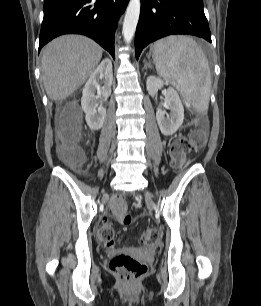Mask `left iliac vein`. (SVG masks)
I'll list each match as a JSON object with an SVG mask.
<instances>
[{"label":"left iliac vein","mask_w":261,"mask_h":306,"mask_svg":"<svg viewBox=\"0 0 261 306\" xmlns=\"http://www.w3.org/2000/svg\"><path fill=\"white\" fill-rule=\"evenodd\" d=\"M145 195H146V197L149 198V199H151V198L153 197L152 193L149 192V191H146Z\"/></svg>","instance_id":"1"}]
</instances>
